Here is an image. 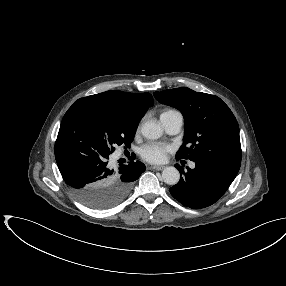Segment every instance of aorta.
I'll return each instance as SVG.
<instances>
[{"label":"aorta","instance_id":"obj_1","mask_svg":"<svg viewBox=\"0 0 286 286\" xmlns=\"http://www.w3.org/2000/svg\"><path fill=\"white\" fill-rule=\"evenodd\" d=\"M141 133L146 139H159L163 130L162 127L154 121H147L141 127ZM180 173L175 167H166L162 171V180L168 185H175L179 182Z\"/></svg>","mask_w":286,"mask_h":286}]
</instances>
